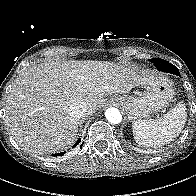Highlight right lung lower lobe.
I'll return each instance as SVG.
<instances>
[{
	"mask_svg": "<svg viewBox=\"0 0 196 196\" xmlns=\"http://www.w3.org/2000/svg\"><path fill=\"white\" fill-rule=\"evenodd\" d=\"M80 142H81V139H78V141L76 142L74 147L77 146L78 144H80ZM80 146H82V144ZM64 154H65V152H61V153L53 154L52 156H55V157L56 156H63Z\"/></svg>",
	"mask_w": 196,
	"mask_h": 196,
	"instance_id": "98d812e1",
	"label": "right lung lower lobe"
}]
</instances>
